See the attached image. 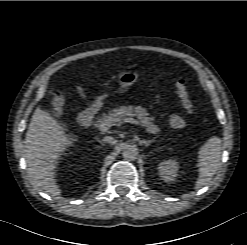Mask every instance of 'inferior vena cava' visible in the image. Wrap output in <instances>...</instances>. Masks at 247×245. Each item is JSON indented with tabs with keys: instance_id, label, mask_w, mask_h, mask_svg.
Segmentation results:
<instances>
[{
	"instance_id": "inferior-vena-cava-1",
	"label": "inferior vena cava",
	"mask_w": 247,
	"mask_h": 245,
	"mask_svg": "<svg viewBox=\"0 0 247 245\" xmlns=\"http://www.w3.org/2000/svg\"><path fill=\"white\" fill-rule=\"evenodd\" d=\"M103 141H104L105 143H108V144H111V145H114V144L117 143V140L114 139L113 137H110V136L104 137V138H103Z\"/></svg>"
}]
</instances>
